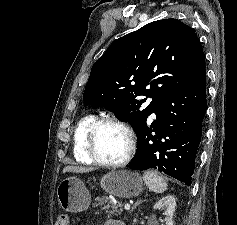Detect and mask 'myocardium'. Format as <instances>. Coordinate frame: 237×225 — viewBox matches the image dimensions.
<instances>
[{
	"label": "myocardium",
	"mask_w": 237,
	"mask_h": 225,
	"mask_svg": "<svg viewBox=\"0 0 237 225\" xmlns=\"http://www.w3.org/2000/svg\"><path fill=\"white\" fill-rule=\"evenodd\" d=\"M104 125H114L121 128L128 139V150L125 156L119 161H107L102 159L96 149V134L98 130ZM136 150V136L133 129L126 124L125 122L113 118V117H102L96 119L90 128L88 129L86 135V151L87 154L91 157V159L99 165L112 167V168H119L123 167L131 160Z\"/></svg>",
	"instance_id": "obj_1"
}]
</instances>
